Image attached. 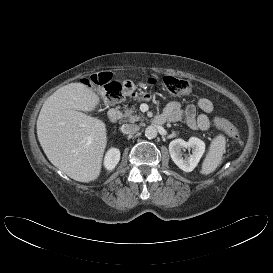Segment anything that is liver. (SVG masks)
I'll return each mask as SVG.
<instances>
[{
  "label": "liver",
  "instance_id": "6515ba94",
  "mask_svg": "<svg viewBox=\"0 0 273 273\" xmlns=\"http://www.w3.org/2000/svg\"><path fill=\"white\" fill-rule=\"evenodd\" d=\"M100 99L83 83H70L55 91L43 104L37 136L49 161L70 178L90 182L101 173L107 146L102 120L83 112L93 111Z\"/></svg>",
  "mask_w": 273,
  "mask_h": 273
}]
</instances>
